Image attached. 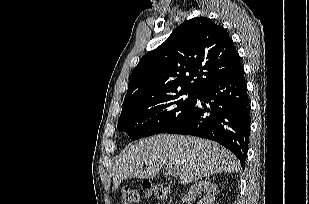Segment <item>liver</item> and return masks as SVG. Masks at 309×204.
<instances>
[{
	"instance_id": "6515ba94",
	"label": "liver",
	"mask_w": 309,
	"mask_h": 204,
	"mask_svg": "<svg viewBox=\"0 0 309 204\" xmlns=\"http://www.w3.org/2000/svg\"><path fill=\"white\" fill-rule=\"evenodd\" d=\"M146 166V168H143ZM173 168L181 184L216 173H237L238 159L219 144L197 137L160 134L131 144L113 168V190L128 178L152 179Z\"/></svg>"
}]
</instances>
